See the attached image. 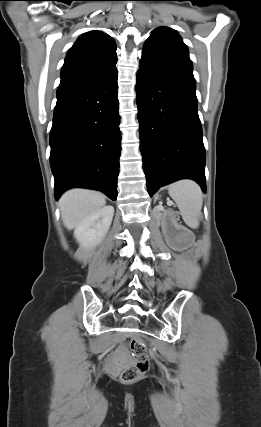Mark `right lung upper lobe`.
Listing matches in <instances>:
<instances>
[{"instance_id": "right-lung-upper-lobe-1", "label": "right lung upper lobe", "mask_w": 261, "mask_h": 427, "mask_svg": "<svg viewBox=\"0 0 261 427\" xmlns=\"http://www.w3.org/2000/svg\"><path fill=\"white\" fill-rule=\"evenodd\" d=\"M116 44L101 31L83 34L69 49L57 94L95 81L116 70Z\"/></svg>"}]
</instances>
